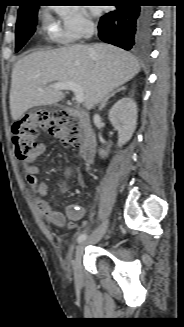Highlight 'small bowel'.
Here are the masks:
<instances>
[{"label": "small bowel", "instance_id": "obj_1", "mask_svg": "<svg viewBox=\"0 0 184 327\" xmlns=\"http://www.w3.org/2000/svg\"><path fill=\"white\" fill-rule=\"evenodd\" d=\"M46 145L44 143H38L33 154L29 156L27 160L23 162V168L25 171V178L27 183L35 189L39 196L36 199V206L41 215L52 225L56 227H63L68 220V226L71 229H76L79 226H84L85 223L81 221L84 211L79 205H69L66 208V212L63 213L54 208V205L47 201L44 197L47 194V186L42 182L38 176V168L35 165V160L38 156L44 153ZM71 176V169L65 168L61 178L57 180L59 188L64 189L67 181ZM78 183L84 182V176L80 174L77 178Z\"/></svg>", "mask_w": 184, "mask_h": 327}]
</instances>
